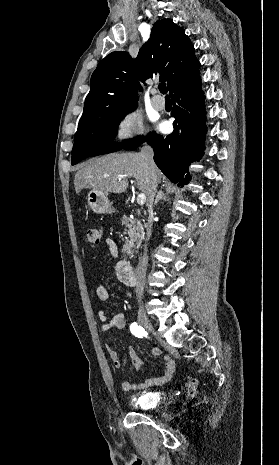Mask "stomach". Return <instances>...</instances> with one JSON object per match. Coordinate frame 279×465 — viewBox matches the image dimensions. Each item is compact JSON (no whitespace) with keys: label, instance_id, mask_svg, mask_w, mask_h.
<instances>
[{"label":"stomach","instance_id":"1","mask_svg":"<svg viewBox=\"0 0 279 465\" xmlns=\"http://www.w3.org/2000/svg\"><path fill=\"white\" fill-rule=\"evenodd\" d=\"M89 208L96 214L112 213L114 211L106 193L91 190L87 196Z\"/></svg>","mask_w":279,"mask_h":465}]
</instances>
